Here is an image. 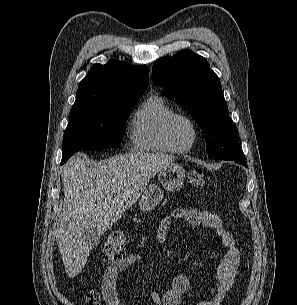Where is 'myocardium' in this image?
Segmentation results:
<instances>
[{
  "label": "myocardium",
  "instance_id": "obj_1",
  "mask_svg": "<svg viewBox=\"0 0 297 305\" xmlns=\"http://www.w3.org/2000/svg\"><path fill=\"white\" fill-rule=\"evenodd\" d=\"M182 119L185 120L186 122H188V124L190 125L191 129H192V138L190 143L187 146H180L177 141L175 140L174 136H173V132H172V128H173V124L175 121ZM164 133L166 136V139L168 140V142L170 143V145L177 151V152H181V153H185L190 151L198 138V127L196 122L188 115L183 114V113H174L172 114L165 122L164 125Z\"/></svg>",
  "mask_w": 297,
  "mask_h": 305
}]
</instances>
